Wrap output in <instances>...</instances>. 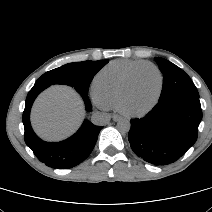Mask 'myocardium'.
Returning <instances> with one entry per match:
<instances>
[{
    "label": "myocardium",
    "mask_w": 212,
    "mask_h": 212,
    "mask_svg": "<svg viewBox=\"0 0 212 212\" xmlns=\"http://www.w3.org/2000/svg\"><path fill=\"white\" fill-rule=\"evenodd\" d=\"M144 68H151L153 69L158 77H159V88H158V92H157V95L155 97V99L153 100V102L149 105V107L143 111H130V110H127L125 107H124V102L126 100V97L132 87V84L134 82V79L136 77V75L138 74L139 71H141L142 69ZM163 84H164V77H163V74L161 72V70L154 64L148 62V63H144L138 67H136L134 70L131 71V73L129 74V76L127 77L122 89H121V92H120V95H119V98H118V101H117V108L118 110L126 115V116H130V117H137V116H141V115H144L145 113H147L150 109H152L156 103L158 102L160 96H161V93H162V89H163Z\"/></svg>",
    "instance_id": "myocardium-1"
}]
</instances>
